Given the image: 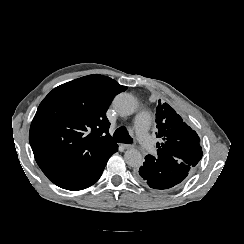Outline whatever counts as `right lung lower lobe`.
Returning a JSON list of instances; mask_svg holds the SVG:
<instances>
[{
    "mask_svg": "<svg viewBox=\"0 0 244 244\" xmlns=\"http://www.w3.org/2000/svg\"><path fill=\"white\" fill-rule=\"evenodd\" d=\"M117 144L93 156H84L71 165L46 176L57 186L67 190H82L93 185L101 176L108 159L117 152Z\"/></svg>",
    "mask_w": 244,
    "mask_h": 244,
    "instance_id": "1",
    "label": "right lung lower lobe"
}]
</instances>
